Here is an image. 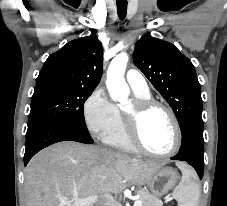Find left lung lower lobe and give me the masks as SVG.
Segmentation results:
<instances>
[{
  "mask_svg": "<svg viewBox=\"0 0 227 206\" xmlns=\"http://www.w3.org/2000/svg\"><path fill=\"white\" fill-rule=\"evenodd\" d=\"M203 146V134L190 133L182 139L178 154L171 159L186 161L197 171L199 178L202 179L204 171Z\"/></svg>",
  "mask_w": 227,
  "mask_h": 206,
  "instance_id": "0a47b994",
  "label": "left lung lower lobe"
}]
</instances>
